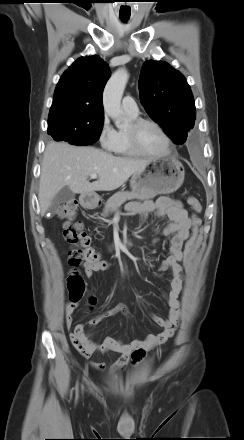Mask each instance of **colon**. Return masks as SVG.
<instances>
[{
    "instance_id": "5ec220e1",
    "label": "colon",
    "mask_w": 244,
    "mask_h": 440,
    "mask_svg": "<svg viewBox=\"0 0 244 440\" xmlns=\"http://www.w3.org/2000/svg\"><path fill=\"white\" fill-rule=\"evenodd\" d=\"M188 204L193 209L195 214L192 216L191 236L185 244L184 248V261L188 263L198 230L201 226V219L197 215L201 211V204L195 197L188 198ZM77 210V203L73 200L67 201L61 204L57 209V216L63 221L62 232L65 240L73 246H79L80 248H74L69 251V264L71 266H78L83 260L92 264L107 265V263L101 259L100 255L90 247L89 237L82 231L79 223H74V218ZM68 289L71 303L82 300L88 291L87 285L81 277L77 269L71 270L68 276Z\"/></svg>"
}]
</instances>
